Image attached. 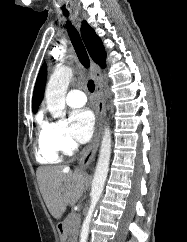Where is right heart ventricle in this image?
I'll return each mask as SVG.
<instances>
[{
	"label": "right heart ventricle",
	"mask_w": 187,
	"mask_h": 242,
	"mask_svg": "<svg viewBox=\"0 0 187 242\" xmlns=\"http://www.w3.org/2000/svg\"><path fill=\"white\" fill-rule=\"evenodd\" d=\"M47 123L40 117L38 119V137L36 145V159L42 164H54L59 162L58 151L51 145L46 132Z\"/></svg>",
	"instance_id": "obj_1"
}]
</instances>
